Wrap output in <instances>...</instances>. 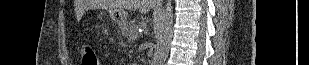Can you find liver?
Returning a JSON list of instances; mask_svg holds the SVG:
<instances>
[{"mask_svg": "<svg viewBox=\"0 0 309 65\" xmlns=\"http://www.w3.org/2000/svg\"><path fill=\"white\" fill-rule=\"evenodd\" d=\"M103 8L109 9H139L141 13H146L153 7V0H102L98 3Z\"/></svg>", "mask_w": 309, "mask_h": 65, "instance_id": "1", "label": "liver"}]
</instances>
